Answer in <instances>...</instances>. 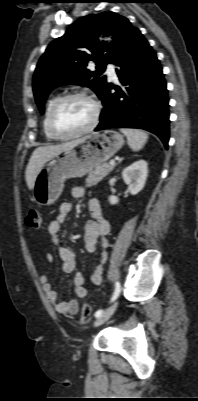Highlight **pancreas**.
<instances>
[{
  "mask_svg": "<svg viewBox=\"0 0 198 401\" xmlns=\"http://www.w3.org/2000/svg\"><path fill=\"white\" fill-rule=\"evenodd\" d=\"M114 168V165L104 163L95 168L94 171L90 172L86 178V187H92L98 184L104 177H106Z\"/></svg>",
  "mask_w": 198,
  "mask_h": 401,
  "instance_id": "obj_1",
  "label": "pancreas"
}]
</instances>
